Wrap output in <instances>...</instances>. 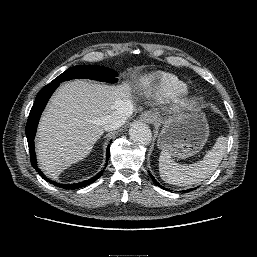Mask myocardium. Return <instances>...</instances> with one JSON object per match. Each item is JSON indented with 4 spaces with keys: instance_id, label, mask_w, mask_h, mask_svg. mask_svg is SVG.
<instances>
[{
    "instance_id": "obj_1",
    "label": "myocardium",
    "mask_w": 257,
    "mask_h": 257,
    "mask_svg": "<svg viewBox=\"0 0 257 257\" xmlns=\"http://www.w3.org/2000/svg\"><path fill=\"white\" fill-rule=\"evenodd\" d=\"M174 100L175 106L183 111L194 109L197 103V98L186 90L175 96Z\"/></svg>"
}]
</instances>
